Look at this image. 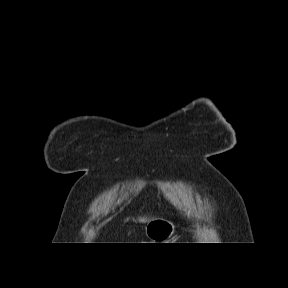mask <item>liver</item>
<instances>
[{
	"mask_svg": "<svg viewBox=\"0 0 288 288\" xmlns=\"http://www.w3.org/2000/svg\"><path fill=\"white\" fill-rule=\"evenodd\" d=\"M139 221H140V222H146L147 219H146V218H139Z\"/></svg>",
	"mask_w": 288,
	"mask_h": 288,
	"instance_id": "obj_1",
	"label": "liver"
}]
</instances>
